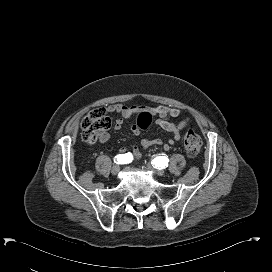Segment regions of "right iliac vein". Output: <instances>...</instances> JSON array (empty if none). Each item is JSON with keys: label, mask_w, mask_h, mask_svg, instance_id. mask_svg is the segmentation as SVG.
Here are the masks:
<instances>
[{"label": "right iliac vein", "mask_w": 272, "mask_h": 272, "mask_svg": "<svg viewBox=\"0 0 272 272\" xmlns=\"http://www.w3.org/2000/svg\"><path fill=\"white\" fill-rule=\"evenodd\" d=\"M119 171H120L119 165H114V166L112 167V169H111V173H112V175H114V176L118 175Z\"/></svg>", "instance_id": "63e3f726"}]
</instances>
